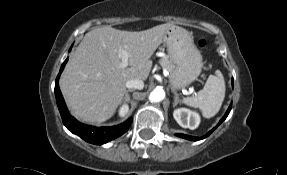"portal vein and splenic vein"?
<instances>
[{"label":"portal vein and splenic vein","instance_id":"18ae733b","mask_svg":"<svg viewBox=\"0 0 287 175\" xmlns=\"http://www.w3.org/2000/svg\"><path fill=\"white\" fill-rule=\"evenodd\" d=\"M120 57L122 59V62L120 63L121 68H126L128 66V59H129V53L125 50L120 51Z\"/></svg>","mask_w":287,"mask_h":175}]
</instances>
